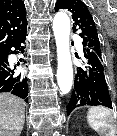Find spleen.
<instances>
[{
  "mask_svg": "<svg viewBox=\"0 0 117 136\" xmlns=\"http://www.w3.org/2000/svg\"><path fill=\"white\" fill-rule=\"evenodd\" d=\"M87 121L92 129L102 136H114L117 133L115 118L112 112L101 106H94L88 110Z\"/></svg>",
  "mask_w": 117,
  "mask_h": 136,
  "instance_id": "1",
  "label": "spleen"
}]
</instances>
